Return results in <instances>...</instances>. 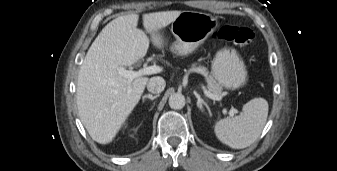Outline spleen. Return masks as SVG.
Masks as SVG:
<instances>
[{
    "mask_svg": "<svg viewBox=\"0 0 337 171\" xmlns=\"http://www.w3.org/2000/svg\"><path fill=\"white\" fill-rule=\"evenodd\" d=\"M268 102L254 98L243 105L242 113L233 118L219 120L214 127L216 137L233 149H243L260 136L268 116Z\"/></svg>",
    "mask_w": 337,
    "mask_h": 171,
    "instance_id": "spleen-1",
    "label": "spleen"
}]
</instances>
